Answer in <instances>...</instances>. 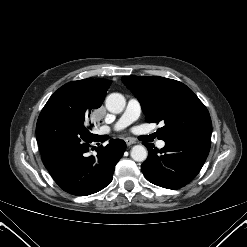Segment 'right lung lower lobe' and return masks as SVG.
<instances>
[{"label": "right lung lower lobe", "instance_id": "1", "mask_svg": "<svg viewBox=\"0 0 247 247\" xmlns=\"http://www.w3.org/2000/svg\"><path fill=\"white\" fill-rule=\"evenodd\" d=\"M83 123L55 111H41L36 137L42 161L55 182L64 191L86 196L105 188L112 181L115 165L126 150V144L111 139L105 147L89 156L91 142L101 136L91 133Z\"/></svg>", "mask_w": 247, "mask_h": 247}]
</instances>
